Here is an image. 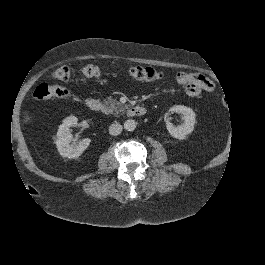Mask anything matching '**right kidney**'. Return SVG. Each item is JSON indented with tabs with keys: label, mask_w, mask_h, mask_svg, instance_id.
<instances>
[{
	"label": "right kidney",
	"mask_w": 265,
	"mask_h": 265,
	"mask_svg": "<svg viewBox=\"0 0 265 265\" xmlns=\"http://www.w3.org/2000/svg\"><path fill=\"white\" fill-rule=\"evenodd\" d=\"M77 124L78 119L76 117H68L58 129L56 139L57 149L61 156L68 159L79 158L82 153L88 148L91 142L90 138H84L75 149H72L70 147V143L73 139L71 131Z\"/></svg>",
	"instance_id": "ca27d5eb"
}]
</instances>
